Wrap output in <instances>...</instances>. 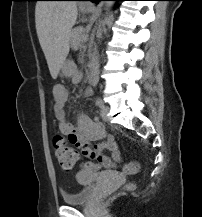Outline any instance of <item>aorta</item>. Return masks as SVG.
Instances as JSON below:
<instances>
[{
  "label": "aorta",
  "mask_w": 202,
  "mask_h": 217,
  "mask_svg": "<svg viewBox=\"0 0 202 217\" xmlns=\"http://www.w3.org/2000/svg\"><path fill=\"white\" fill-rule=\"evenodd\" d=\"M114 3L113 1H105L103 3L104 9L107 11L108 14H110L113 10L114 7Z\"/></svg>",
  "instance_id": "762f6f07"
}]
</instances>
